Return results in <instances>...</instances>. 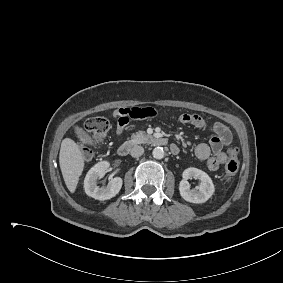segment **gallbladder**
<instances>
[{
	"label": "gallbladder",
	"instance_id": "bac80fb5",
	"mask_svg": "<svg viewBox=\"0 0 283 283\" xmlns=\"http://www.w3.org/2000/svg\"><path fill=\"white\" fill-rule=\"evenodd\" d=\"M74 131L76 136L80 139V141L84 144L93 145L94 142L91 137L79 126L74 127Z\"/></svg>",
	"mask_w": 283,
	"mask_h": 283
}]
</instances>
